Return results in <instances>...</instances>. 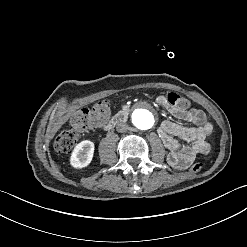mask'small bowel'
<instances>
[{
  "label": "small bowel",
  "instance_id": "1",
  "mask_svg": "<svg viewBox=\"0 0 247 247\" xmlns=\"http://www.w3.org/2000/svg\"><path fill=\"white\" fill-rule=\"evenodd\" d=\"M159 103L180 121L190 122L193 127L184 126L171 121H163L158 127V134L169 154V165L177 170L186 169L198 156L207 155L210 146L206 141L207 128L212 126L206 121L205 113L199 109H177L168 104L165 98ZM212 131V130H211ZM179 138L182 142L178 141Z\"/></svg>",
  "mask_w": 247,
  "mask_h": 247
}]
</instances>
